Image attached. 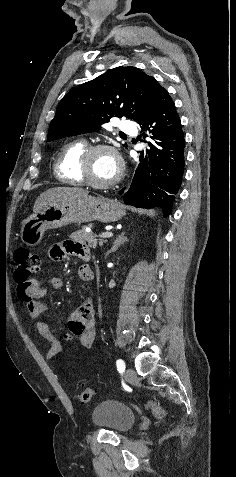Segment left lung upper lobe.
<instances>
[{"label":"left lung upper lobe","mask_w":236,"mask_h":477,"mask_svg":"<svg viewBox=\"0 0 236 477\" xmlns=\"http://www.w3.org/2000/svg\"><path fill=\"white\" fill-rule=\"evenodd\" d=\"M161 88L155 78L138 68H113L62 98L47 141L100 130L113 117H126L141 125L154 109Z\"/></svg>","instance_id":"obj_1"}]
</instances>
